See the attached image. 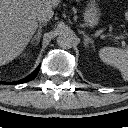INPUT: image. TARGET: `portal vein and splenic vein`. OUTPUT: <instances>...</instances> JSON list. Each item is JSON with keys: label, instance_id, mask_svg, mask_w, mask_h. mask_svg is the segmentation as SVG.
Returning <instances> with one entry per match:
<instances>
[{"label": "portal vein and splenic vein", "instance_id": "18ae733b", "mask_svg": "<svg viewBox=\"0 0 128 128\" xmlns=\"http://www.w3.org/2000/svg\"><path fill=\"white\" fill-rule=\"evenodd\" d=\"M119 39H121V40H122V42H121V43H122V46H125V45H126V43H125V41H124V37H123V36H120V37H119Z\"/></svg>", "mask_w": 128, "mask_h": 128}]
</instances>
